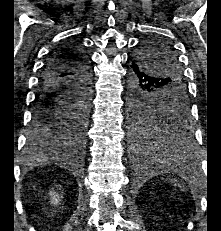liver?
I'll return each mask as SVG.
<instances>
[{
  "instance_id": "liver-1",
  "label": "liver",
  "mask_w": 221,
  "mask_h": 231,
  "mask_svg": "<svg viewBox=\"0 0 221 231\" xmlns=\"http://www.w3.org/2000/svg\"><path fill=\"white\" fill-rule=\"evenodd\" d=\"M52 155V152H49V153H46V154H43V153H40L39 156H36L35 159L37 161H41V160H45V159H48V157Z\"/></svg>"
}]
</instances>
